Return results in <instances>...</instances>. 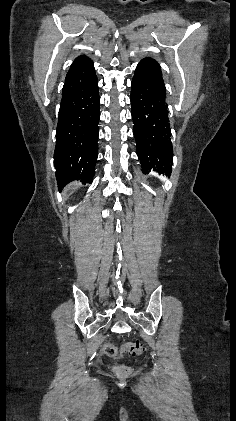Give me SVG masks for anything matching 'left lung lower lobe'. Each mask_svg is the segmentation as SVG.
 <instances>
[{"label":"left lung lower lobe","instance_id":"1","mask_svg":"<svg viewBox=\"0 0 236 421\" xmlns=\"http://www.w3.org/2000/svg\"><path fill=\"white\" fill-rule=\"evenodd\" d=\"M165 98L160 65L150 57L142 59L132 79L131 112L136 152L144 174H171L173 152Z\"/></svg>","mask_w":236,"mask_h":421}]
</instances>
